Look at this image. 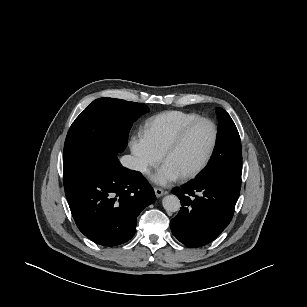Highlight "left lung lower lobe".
Here are the masks:
<instances>
[{
    "instance_id": "1",
    "label": "left lung lower lobe",
    "mask_w": 307,
    "mask_h": 307,
    "mask_svg": "<svg viewBox=\"0 0 307 307\" xmlns=\"http://www.w3.org/2000/svg\"><path fill=\"white\" fill-rule=\"evenodd\" d=\"M182 208L171 220L173 235L188 247L213 241L230 223L240 188L221 177L199 178L172 190Z\"/></svg>"
}]
</instances>
